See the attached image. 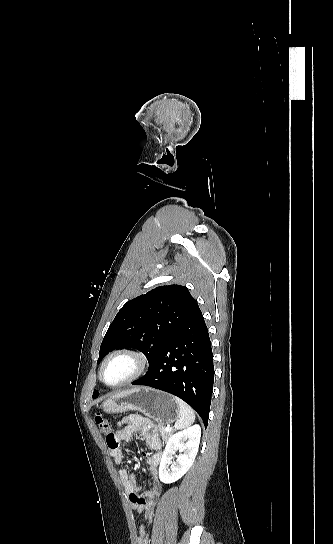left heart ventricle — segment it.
<instances>
[{"instance_id":"obj_1","label":"left heart ventricle","mask_w":333,"mask_h":544,"mask_svg":"<svg viewBox=\"0 0 333 544\" xmlns=\"http://www.w3.org/2000/svg\"><path fill=\"white\" fill-rule=\"evenodd\" d=\"M134 361L127 356L112 359L104 369V380L108 384H115L128 377L134 370Z\"/></svg>"}]
</instances>
